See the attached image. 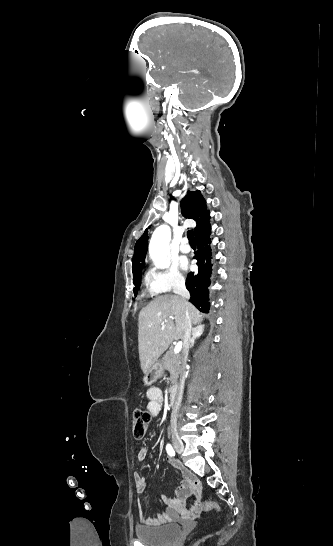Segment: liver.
Here are the masks:
<instances>
[{"label": "liver", "mask_w": 333, "mask_h": 546, "mask_svg": "<svg viewBox=\"0 0 333 546\" xmlns=\"http://www.w3.org/2000/svg\"><path fill=\"white\" fill-rule=\"evenodd\" d=\"M186 316L196 325L202 322L204 315L191 303L174 295L159 296L140 311L138 350L144 374L174 340L183 339Z\"/></svg>", "instance_id": "6515ba94"}]
</instances>
